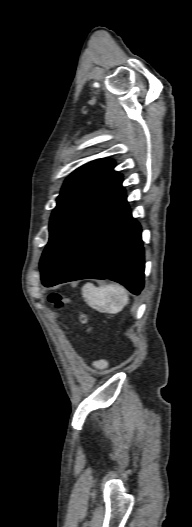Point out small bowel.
Instances as JSON below:
<instances>
[{
	"label": "small bowel",
	"mask_w": 192,
	"mask_h": 527,
	"mask_svg": "<svg viewBox=\"0 0 192 527\" xmlns=\"http://www.w3.org/2000/svg\"><path fill=\"white\" fill-rule=\"evenodd\" d=\"M104 365H105L104 362H98L97 363V366H99V367H103Z\"/></svg>",
	"instance_id": "c3829d8e"
}]
</instances>
